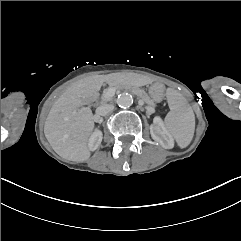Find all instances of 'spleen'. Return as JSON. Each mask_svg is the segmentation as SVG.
I'll return each mask as SVG.
<instances>
[{
  "instance_id": "obj_1",
  "label": "spleen",
  "mask_w": 241,
  "mask_h": 241,
  "mask_svg": "<svg viewBox=\"0 0 241 241\" xmlns=\"http://www.w3.org/2000/svg\"><path fill=\"white\" fill-rule=\"evenodd\" d=\"M170 112L164 119V126L180 149L192 141L195 131V116L192 108L180 93L169 87L166 90Z\"/></svg>"
}]
</instances>
